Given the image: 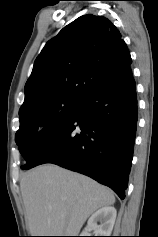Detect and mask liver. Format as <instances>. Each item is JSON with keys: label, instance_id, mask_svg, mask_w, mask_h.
I'll use <instances>...</instances> for the list:
<instances>
[{"label": "liver", "instance_id": "6515ba94", "mask_svg": "<svg viewBox=\"0 0 158 237\" xmlns=\"http://www.w3.org/2000/svg\"><path fill=\"white\" fill-rule=\"evenodd\" d=\"M20 189L32 236H77L91 214L115 202L109 188L53 164L25 172Z\"/></svg>", "mask_w": 158, "mask_h": 237}]
</instances>
